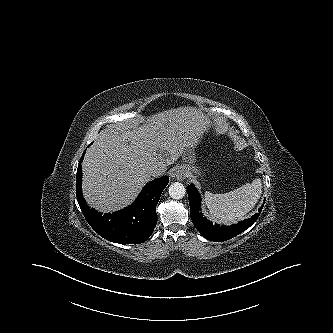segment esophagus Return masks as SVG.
Masks as SVG:
<instances>
[{"instance_id":"34e87169","label":"esophagus","mask_w":333,"mask_h":333,"mask_svg":"<svg viewBox=\"0 0 333 333\" xmlns=\"http://www.w3.org/2000/svg\"><path fill=\"white\" fill-rule=\"evenodd\" d=\"M187 176V172L183 167H179L178 169H176V171L174 172V177L177 180H183L185 179Z\"/></svg>"}]
</instances>
